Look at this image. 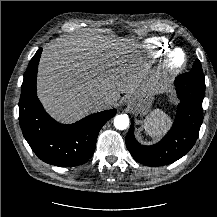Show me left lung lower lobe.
Segmentation results:
<instances>
[{"mask_svg":"<svg viewBox=\"0 0 217 217\" xmlns=\"http://www.w3.org/2000/svg\"><path fill=\"white\" fill-rule=\"evenodd\" d=\"M175 87L180 103L171 130L157 144L144 146L134 137L132 121L125 142L133 158L146 166L171 164L187 154L196 142L203 121L202 101L205 84L189 73L176 78Z\"/></svg>","mask_w":217,"mask_h":217,"instance_id":"obj_1","label":"left lung lower lobe"}]
</instances>
